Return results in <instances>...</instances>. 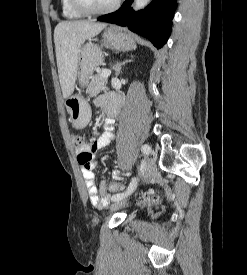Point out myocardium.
Listing matches in <instances>:
<instances>
[{
	"mask_svg": "<svg viewBox=\"0 0 247 275\" xmlns=\"http://www.w3.org/2000/svg\"><path fill=\"white\" fill-rule=\"evenodd\" d=\"M69 2H70V5L73 7V9L81 13L82 15L98 16V15L109 14L115 11L119 7L121 0H115L113 4L102 9H90L84 6L80 0H69Z\"/></svg>",
	"mask_w": 247,
	"mask_h": 275,
	"instance_id": "1",
	"label": "myocardium"
}]
</instances>
